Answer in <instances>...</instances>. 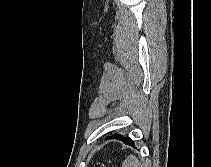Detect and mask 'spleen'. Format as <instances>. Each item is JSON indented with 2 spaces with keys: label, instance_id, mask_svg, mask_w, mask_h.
Segmentation results:
<instances>
[{
  "label": "spleen",
  "instance_id": "obj_1",
  "mask_svg": "<svg viewBox=\"0 0 211 167\" xmlns=\"http://www.w3.org/2000/svg\"><path fill=\"white\" fill-rule=\"evenodd\" d=\"M122 167H147L144 166L134 155L130 154L123 162Z\"/></svg>",
  "mask_w": 211,
  "mask_h": 167
}]
</instances>
